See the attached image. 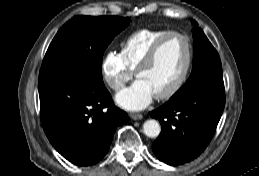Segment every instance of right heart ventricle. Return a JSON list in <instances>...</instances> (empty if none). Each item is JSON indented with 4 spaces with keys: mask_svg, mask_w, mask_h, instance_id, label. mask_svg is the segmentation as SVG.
Returning a JSON list of instances; mask_svg holds the SVG:
<instances>
[{
    "mask_svg": "<svg viewBox=\"0 0 259 176\" xmlns=\"http://www.w3.org/2000/svg\"><path fill=\"white\" fill-rule=\"evenodd\" d=\"M169 30L141 29L129 35L122 44L121 55L127 67L135 71L152 45Z\"/></svg>",
    "mask_w": 259,
    "mask_h": 176,
    "instance_id": "obj_1",
    "label": "right heart ventricle"
}]
</instances>
